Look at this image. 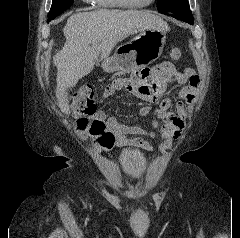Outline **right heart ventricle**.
<instances>
[{
    "mask_svg": "<svg viewBox=\"0 0 240 238\" xmlns=\"http://www.w3.org/2000/svg\"><path fill=\"white\" fill-rule=\"evenodd\" d=\"M94 2L105 8H122L124 7L118 0H94Z\"/></svg>",
    "mask_w": 240,
    "mask_h": 238,
    "instance_id": "right-heart-ventricle-1",
    "label": "right heart ventricle"
}]
</instances>
